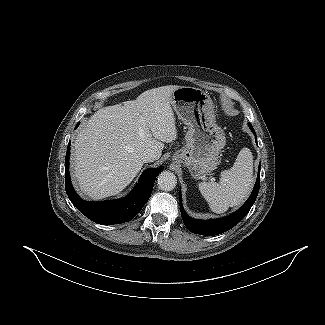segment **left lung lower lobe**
<instances>
[{
  "label": "left lung lower lobe",
  "instance_id": "1",
  "mask_svg": "<svg viewBox=\"0 0 325 325\" xmlns=\"http://www.w3.org/2000/svg\"><path fill=\"white\" fill-rule=\"evenodd\" d=\"M248 124L251 131L254 133V135H256L252 125L250 123ZM260 169H261V163L259 164L257 180L250 197L238 211L234 212L228 217L214 219V220L193 219L185 213L183 209L181 193H180V211H181L183 222L187 227V229L196 234L211 236V235H218L223 232H226L231 228H233L235 225H237L248 214V212L250 211L252 205L256 200L259 191V185H260Z\"/></svg>",
  "mask_w": 325,
  "mask_h": 325
}]
</instances>
